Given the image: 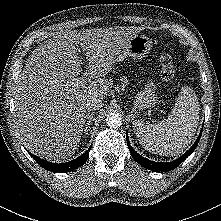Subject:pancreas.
Returning <instances> with one entry per match:
<instances>
[{"label":"pancreas","instance_id":"1","mask_svg":"<svg viewBox=\"0 0 221 221\" xmlns=\"http://www.w3.org/2000/svg\"><path fill=\"white\" fill-rule=\"evenodd\" d=\"M124 82L127 83V78H123Z\"/></svg>","mask_w":221,"mask_h":221}]
</instances>
